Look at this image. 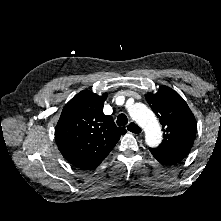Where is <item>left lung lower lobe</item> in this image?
<instances>
[{
	"mask_svg": "<svg viewBox=\"0 0 221 221\" xmlns=\"http://www.w3.org/2000/svg\"><path fill=\"white\" fill-rule=\"evenodd\" d=\"M191 145H183L172 149L149 148L152 155L162 164L171 165L184 159L190 152Z\"/></svg>",
	"mask_w": 221,
	"mask_h": 221,
	"instance_id": "left-lung-lower-lobe-1",
	"label": "left lung lower lobe"
}]
</instances>
